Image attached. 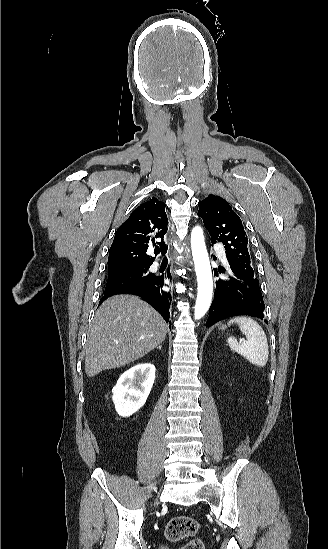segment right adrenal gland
I'll list each match as a JSON object with an SVG mask.
<instances>
[{
	"label": "right adrenal gland",
	"instance_id": "right-adrenal-gland-1",
	"mask_svg": "<svg viewBox=\"0 0 328 549\" xmlns=\"http://www.w3.org/2000/svg\"><path fill=\"white\" fill-rule=\"evenodd\" d=\"M161 347H162V345H160V347H157V349H160V351H161Z\"/></svg>",
	"mask_w": 328,
	"mask_h": 549
}]
</instances>
